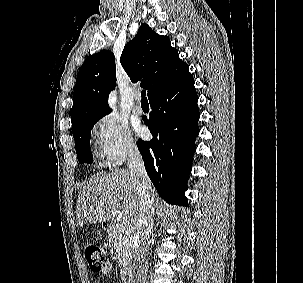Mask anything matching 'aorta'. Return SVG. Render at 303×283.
Masks as SVG:
<instances>
[{
	"label": "aorta",
	"mask_w": 303,
	"mask_h": 283,
	"mask_svg": "<svg viewBox=\"0 0 303 283\" xmlns=\"http://www.w3.org/2000/svg\"><path fill=\"white\" fill-rule=\"evenodd\" d=\"M114 103H115V97H114V96H111V98H110V104H111V105H114Z\"/></svg>",
	"instance_id": "762f6f07"
}]
</instances>
